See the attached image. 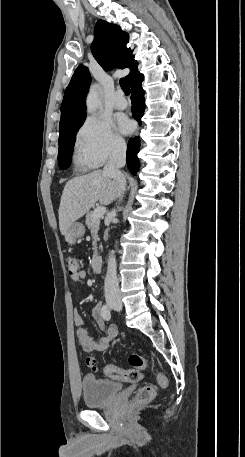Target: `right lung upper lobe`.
I'll list each match as a JSON object with an SVG mask.
<instances>
[{
	"instance_id": "right-lung-upper-lobe-1",
	"label": "right lung upper lobe",
	"mask_w": 245,
	"mask_h": 457,
	"mask_svg": "<svg viewBox=\"0 0 245 457\" xmlns=\"http://www.w3.org/2000/svg\"><path fill=\"white\" fill-rule=\"evenodd\" d=\"M128 40V34L118 25L99 20L94 29L91 50L97 62L106 70L129 68L130 73L126 78L131 83L143 75L138 72V63L134 60L132 51L126 47ZM90 82L88 68L83 65L78 66L65 90L59 128L86 118L85 100Z\"/></svg>"
}]
</instances>
